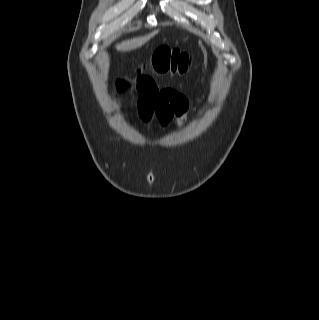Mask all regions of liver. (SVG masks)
Masks as SVG:
<instances>
[{"label":"liver","instance_id":"1","mask_svg":"<svg viewBox=\"0 0 319 320\" xmlns=\"http://www.w3.org/2000/svg\"><path fill=\"white\" fill-rule=\"evenodd\" d=\"M157 33H158V30L153 31L145 36L128 39L126 41H122L121 43L117 44L115 47L118 51H123V52L132 51L142 47L147 41H149Z\"/></svg>","mask_w":319,"mask_h":320}]
</instances>
